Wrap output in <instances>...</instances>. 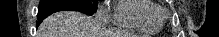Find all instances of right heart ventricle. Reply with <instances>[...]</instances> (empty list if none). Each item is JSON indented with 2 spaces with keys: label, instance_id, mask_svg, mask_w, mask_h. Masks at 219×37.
<instances>
[{
  "label": "right heart ventricle",
  "instance_id": "obj_1",
  "mask_svg": "<svg viewBox=\"0 0 219 37\" xmlns=\"http://www.w3.org/2000/svg\"><path fill=\"white\" fill-rule=\"evenodd\" d=\"M160 6L151 0H122L114 13L113 24L121 29L153 34L160 28Z\"/></svg>",
  "mask_w": 219,
  "mask_h": 37
}]
</instances>
